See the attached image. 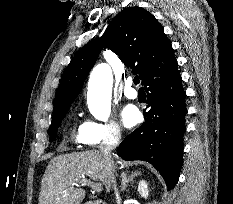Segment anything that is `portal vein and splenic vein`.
Here are the masks:
<instances>
[{"instance_id":"18ae733b","label":"portal vein and splenic vein","mask_w":233,"mask_h":204,"mask_svg":"<svg viewBox=\"0 0 233 204\" xmlns=\"http://www.w3.org/2000/svg\"><path fill=\"white\" fill-rule=\"evenodd\" d=\"M80 184L81 185H90L91 188L97 193H100L102 191V189H103V187H102V185L100 183H92V182H90L89 180H86V179H82L80 182L75 183L73 185L79 186Z\"/></svg>"}]
</instances>
